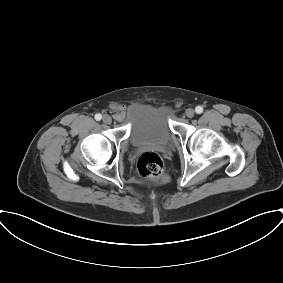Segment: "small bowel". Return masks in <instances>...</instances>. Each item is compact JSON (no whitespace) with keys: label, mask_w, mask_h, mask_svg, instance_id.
<instances>
[{"label":"small bowel","mask_w":283,"mask_h":283,"mask_svg":"<svg viewBox=\"0 0 283 283\" xmlns=\"http://www.w3.org/2000/svg\"><path fill=\"white\" fill-rule=\"evenodd\" d=\"M124 116H125V111H124V109H122V108L116 109L115 117H116L117 119H123Z\"/></svg>","instance_id":"c3829d8e"}]
</instances>
